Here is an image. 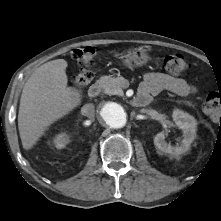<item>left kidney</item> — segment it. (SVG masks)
Returning <instances> with one entry per match:
<instances>
[{"label":"left kidney","mask_w":221,"mask_h":221,"mask_svg":"<svg viewBox=\"0 0 221 221\" xmlns=\"http://www.w3.org/2000/svg\"><path fill=\"white\" fill-rule=\"evenodd\" d=\"M172 118L176 126L183 130V139L177 146H171L165 141V133L160 132L154 137V145L162 152L171 155H181L189 150L191 143L196 137L197 123L193 116L175 109Z\"/></svg>","instance_id":"1"}]
</instances>
